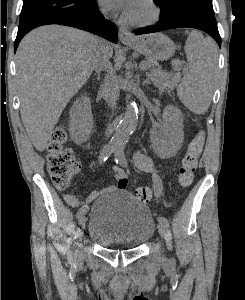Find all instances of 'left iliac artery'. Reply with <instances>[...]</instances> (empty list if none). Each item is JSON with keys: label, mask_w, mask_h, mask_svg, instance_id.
I'll use <instances>...</instances> for the list:
<instances>
[{"label": "left iliac artery", "mask_w": 245, "mask_h": 300, "mask_svg": "<svg viewBox=\"0 0 245 300\" xmlns=\"http://www.w3.org/2000/svg\"><path fill=\"white\" fill-rule=\"evenodd\" d=\"M115 154V160L120 165H126V159L124 156V148L123 147H117L114 151ZM154 188H155V198L157 200H160L162 198V185L161 180L158 177H154ZM158 220L162 223H164L166 226H169V221L163 217L159 216ZM173 262V260H172Z\"/></svg>", "instance_id": "44dca946"}]
</instances>
